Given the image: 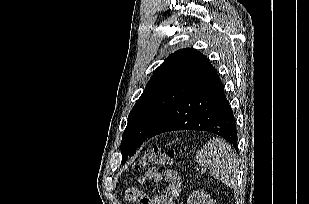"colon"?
Returning <instances> with one entry per match:
<instances>
[{
  "instance_id": "obj_1",
  "label": "colon",
  "mask_w": 309,
  "mask_h": 204,
  "mask_svg": "<svg viewBox=\"0 0 309 204\" xmlns=\"http://www.w3.org/2000/svg\"><path fill=\"white\" fill-rule=\"evenodd\" d=\"M175 162V152L172 149H165L159 146H153L148 149L135 165L136 170H141L158 165H172ZM145 199H140L143 204Z\"/></svg>"
}]
</instances>
